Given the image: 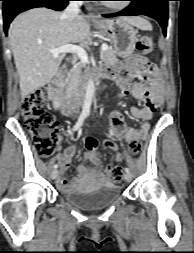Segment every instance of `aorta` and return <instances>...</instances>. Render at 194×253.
Masks as SVG:
<instances>
[{
	"label": "aorta",
	"mask_w": 194,
	"mask_h": 253,
	"mask_svg": "<svg viewBox=\"0 0 194 253\" xmlns=\"http://www.w3.org/2000/svg\"><path fill=\"white\" fill-rule=\"evenodd\" d=\"M94 92H95V85H94L93 80L90 78L87 83L86 93L84 97V103H83L84 113H89L90 111V107H91L92 100L94 97Z\"/></svg>",
	"instance_id": "1"
}]
</instances>
